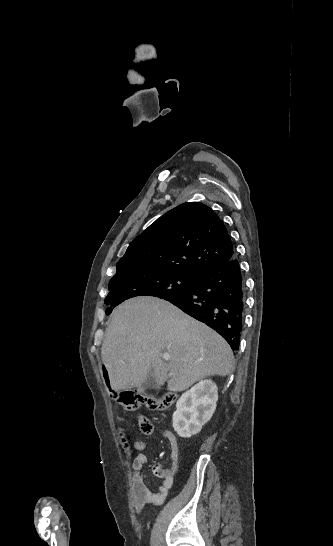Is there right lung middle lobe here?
Wrapping results in <instances>:
<instances>
[{"label":"right lung middle lobe","instance_id":"1","mask_svg":"<svg viewBox=\"0 0 333 546\" xmlns=\"http://www.w3.org/2000/svg\"><path fill=\"white\" fill-rule=\"evenodd\" d=\"M197 281L198 276L175 272L143 271L137 267L117 269L109 282L105 303L115 307L136 296L165 298L178 295L192 289Z\"/></svg>","mask_w":333,"mask_h":546}]
</instances>
